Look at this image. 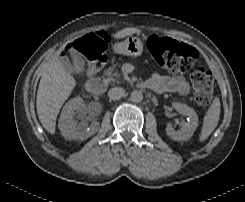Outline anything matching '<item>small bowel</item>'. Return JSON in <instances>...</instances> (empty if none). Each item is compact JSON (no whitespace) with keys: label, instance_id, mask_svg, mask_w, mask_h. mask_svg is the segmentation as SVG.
Returning <instances> with one entry per match:
<instances>
[{"label":"small bowel","instance_id":"1","mask_svg":"<svg viewBox=\"0 0 245 202\" xmlns=\"http://www.w3.org/2000/svg\"><path fill=\"white\" fill-rule=\"evenodd\" d=\"M147 82L154 87L157 93L173 92L180 95H187L189 93V83L181 75L166 76L155 72Z\"/></svg>","mask_w":245,"mask_h":202}]
</instances>
